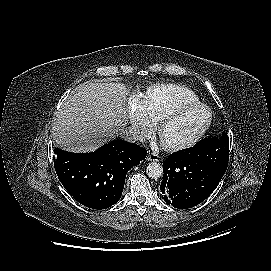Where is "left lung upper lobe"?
<instances>
[{
    "mask_svg": "<svg viewBox=\"0 0 271 271\" xmlns=\"http://www.w3.org/2000/svg\"><path fill=\"white\" fill-rule=\"evenodd\" d=\"M181 153L225 172L229 160V139L223 132L221 137L199 141L194 147L181 150Z\"/></svg>",
    "mask_w": 271,
    "mask_h": 271,
    "instance_id": "5c2ea615",
    "label": "left lung upper lobe"
}]
</instances>
